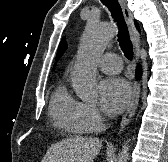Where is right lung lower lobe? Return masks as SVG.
Masks as SVG:
<instances>
[{"mask_svg": "<svg viewBox=\"0 0 168 162\" xmlns=\"http://www.w3.org/2000/svg\"><path fill=\"white\" fill-rule=\"evenodd\" d=\"M140 76H141V68L140 66H137L136 77H140Z\"/></svg>", "mask_w": 168, "mask_h": 162, "instance_id": "obj_1", "label": "right lung lower lobe"}]
</instances>
